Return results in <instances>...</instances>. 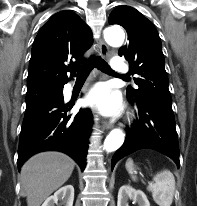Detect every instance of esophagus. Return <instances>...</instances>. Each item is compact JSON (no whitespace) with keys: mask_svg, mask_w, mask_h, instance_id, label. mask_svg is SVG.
<instances>
[{"mask_svg":"<svg viewBox=\"0 0 197 206\" xmlns=\"http://www.w3.org/2000/svg\"><path fill=\"white\" fill-rule=\"evenodd\" d=\"M98 47H99L100 54L102 56L105 57L108 55L109 48H108L107 44L104 42V40L101 38L98 39ZM112 126L113 125L107 121L103 122V127L106 129L112 128Z\"/></svg>","mask_w":197,"mask_h":206,"instance_id":"esophagus-1","label":"esophagus"}]
</instances>
